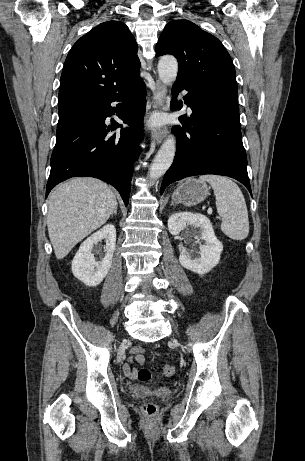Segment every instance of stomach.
<instances>
[{
    "mask_svg": "<svg viewBox=\"0 0 305 461\" xmlns=\"http://www.w3.org/2000/svg\"><path fill=\"white\" fill-rule=\"evenodd\" d=\"M208 195L209 187L206 183L196 179H187L177 187L172 195V200L185 206H195L205 200Z\"/></svg>",
    "mask_w": 305,
    "mask_h": 461,
    "instance_id": "obj_1",
    "label": "stomach"
}]
</instances>
